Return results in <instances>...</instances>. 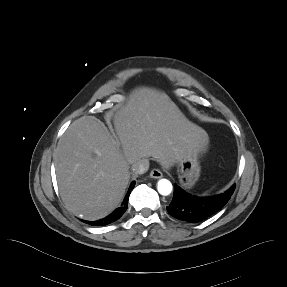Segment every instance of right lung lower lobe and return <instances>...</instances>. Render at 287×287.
I'll list each match as a JSON object with an SVG mask.
<instances>
[{
	"label": "right lung lower lobe",
	"instance_id": "right-lung-lower-lobe-1",
	"mask_svg": "<svg viewBox=\"0 0 287 287\" xmlns=\"http://www.w3.org/2000/svg\"><path fill=\"white\" fill-rule=\"evenodd\" d=\"M135 186V182H132L128 193L126 194L121 206L119 208H117L114 212H112L110 215H108L107 217L100 219L98 221H83L89 225H93V226H105L108 225L112 222L117 221L123 214L124 212L127 210L128 207V200H129V195L131 193V191L133 190Z\"/></svg>",
	"mask_w": 287,
	"mask_h": 287
}]
</instances>
